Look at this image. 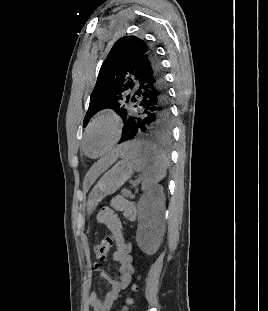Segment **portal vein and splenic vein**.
<instances>
[{"label":"portal vein and splenic vein","mask_w":268,"mask_h":311,"mask_svg":"<svg viewBox=\"0 0 268 311\" xmlns=\"http://www.w3.org/2000/svg\"><path fill=\"white\" fill-rule=\"evenodd\" d=\"M124 195H129V192L125 191V192H124Z\"/></svg>","instance_id":"portal-vein-and-splenic-vein-1"}]
</instances>
